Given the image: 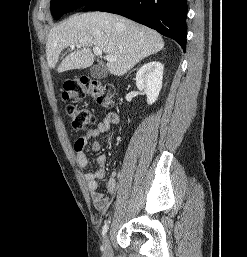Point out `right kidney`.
<instances>
[{
    "label": "right kidney",
    "instance_id": "obj_1",
    "mask_svg": "<svg viewBox=\"0 0 247 257\" xmlns=\"http://www.w3.org/2000/svg\"><path fill=\"white\" fill-rule=\"evenodd\" d=\"M164 65L158 61L144 64L136 74V86L147 95V103L152 105L162 88Z\"/></svg>",
    "mask_w": 247,
    "mask_h": 257
}]
</instances>
